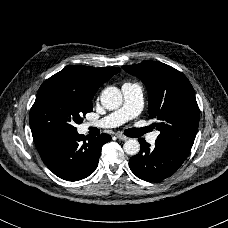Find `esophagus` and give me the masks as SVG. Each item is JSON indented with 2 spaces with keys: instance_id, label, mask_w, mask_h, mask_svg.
<instances>
[{
  "instance_id": "1",
  "label": "esophagus",
  "mask_w": 228,
  "mask_h": 228,
  "mask_svg": "<svg viewBox=\"0 0 228 228\" xmlns=\"http://www.w3.org/2000/svg\"><path fill=\"white\" fill-rule=\"evenodd\" d=\"M117 138L122 141H126L128 139V137H126L125 135H123L121 133L117 134Z\"/></svg>"
}]
</instances>
